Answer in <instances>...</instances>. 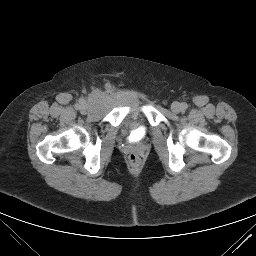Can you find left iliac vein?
<instances>
[{"label":"left iliac vein","instance_id":"4c4485c4","mask_svg":"<svg viewBox=\"0 0 256 256\" xmlns=\"http://www.w3.org/2000/svg\"><path fill=\"white\" fill-rule=\"evenodd\" d=\"M171 110L174 112V113H179V112H181V104L180 103H178V102H173L172 104H171Z\"/></svg>","mask_w":256,"mask_h":256}]
</instances>
